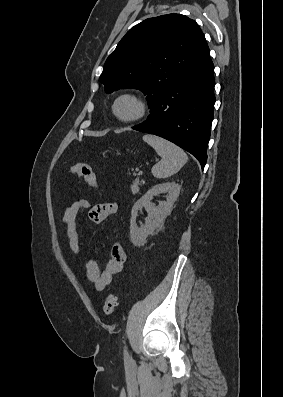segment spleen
I'll use <instances>...</instances> for the list:
<instances>
[{
  "label": "spleen",
  "mask_w": 283,
  "mask_h": 397,
  "mask_svg": "<svg viewBox=\"0 0 283 397\" xmlns=\"http://www.w3.org/2000/svg\"><path fill=\"white\" fill-rule=\"evenodd\" d=\"M143 140L162 157V160L152 167L155 178L164 179L174 175L188 161L187 154L168 140L150 134L144 135Z\"/></svg>",
  "instance_id": "1"
}]
</instances>
